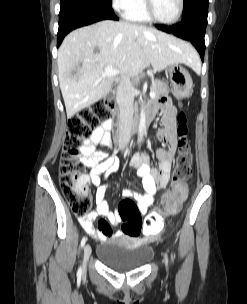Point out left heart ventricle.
<instances>
[{"mask_svg": "<svg viewBox=\"0 0 247 304\" xmlns=\"http://www.w3.org/2000/svg\"><path fill=\"white\" fill-rule=\"evenodd\" d=\"M155 15L163 21L173 19L179 8V0H152Z\"/></svg>", "mask_w": 247, "mask_h": 304, "instance_id": "left-heart-ventricle-1", "label": "left heart ventricle"}]
</instances>
